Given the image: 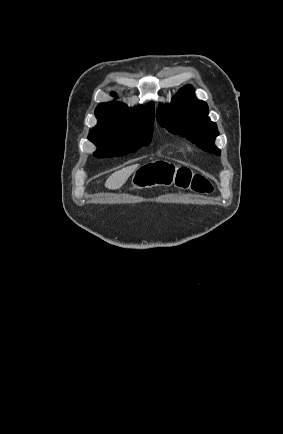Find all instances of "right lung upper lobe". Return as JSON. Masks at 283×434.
<instances>
[{
    "mask_svg": "<svg viewBox=\"0 0 283 434\" xmlns=\"http://www.w3.org/2000/svg\"><path fill=\"white\" fill-rule=\"evenodd\" d=\"M98 124L92 130L131 128L154 122V104L130 110L121 102L101 103L95 109Z\"/></svg>",
    "mask_w": 283,
    "mask_h": 434,
    "instance_id": "1",
    "label": "right lung upper lobe"
}]
</instances>
